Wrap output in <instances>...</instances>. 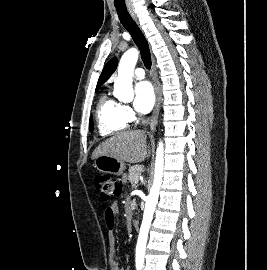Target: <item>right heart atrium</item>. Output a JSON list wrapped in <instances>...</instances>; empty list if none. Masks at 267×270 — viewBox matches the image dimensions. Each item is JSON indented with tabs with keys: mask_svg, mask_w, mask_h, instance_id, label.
<instances>
[{
	"mask_svg": "<svg viewBox=\"0 0 267 270\" xmlns=\"http://www.w3.org/2000/svg\"><path fill=\"white\" fill-rule=\"evenodd\" d=\"M122 113L128 121L135 120L136 116L128 105H122Z\"/></svg>",
	"mask_w": 267,
	"mask_h": 270,
	"instance_id": "obj_1",
	"label": "right heart atrium"
}]
</instances>
